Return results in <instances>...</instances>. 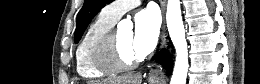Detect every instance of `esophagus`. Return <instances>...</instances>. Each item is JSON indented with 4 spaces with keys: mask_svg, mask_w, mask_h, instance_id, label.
Listing matches in <instances>:
<instances>
[{
    "mask_svg": "<svg viewBox=\"0 0 260 84\" xmlns=\"http://www.w3.org/2000/svg\"><path fill=\"white\" fill-rule=\"evenodd\" d=\"M162 16L164 21L165 16V9H166V0H160ZM166 29L165 24L163 22L162 32H161V42H160V49H163L166 46ZM163 78V68L160 64H157L154 68H152L149 72V80L151 81H159Z\"/></svg>",
    "mask_w": 260,
    "mask_h": 84,
    "instance_id": "1",
    "label": "esophagus"
}]
</instances>
